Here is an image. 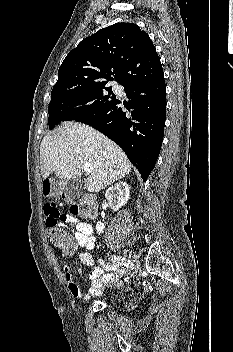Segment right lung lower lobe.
<instances>
[{
  "label": "right lung lower lobe",
  "mask_w": 233,
  "mask_h": 352,
  "mask_svg": "<svg viewBox=\"0 0 233 352\" xmlns=\"http://www.w3.org/2000/svg\"><path fill=\"white\" fill-rule=\"evenodd\" d=\"M129 112L116 99L78 122L92 126L118 144L144 181L154 169L163 141L166 118L164 74L124 86Z\"/></svg>",
  "instance_id": "obj_1"
}]
</instances>
